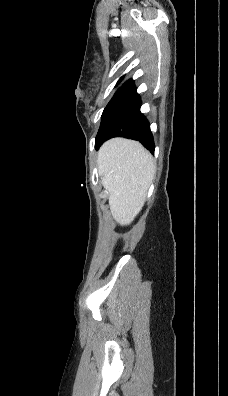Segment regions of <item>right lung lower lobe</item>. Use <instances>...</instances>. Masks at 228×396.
Masks as SVG:
<instances>
[{
    "label": "right lung lower lobe",
    "instance_id": "right-lung-lower-lobe-1",
    "mask_svg": "<svg viewBox=\"0 0 228 396\" xmlns=\"http://www.w3.org/2000/svg\"><path fill=\"white\" fill-rule=\"evenodd\" d=\"M141 98L136 87L131 85L109 105L95 140L98 149L103 142L113 137H125L139 141L154 153V139L147 118L140 112Z\"/></svg>",
    "mask_w": 228,
    "mask_h": 396
}]
</instances>
